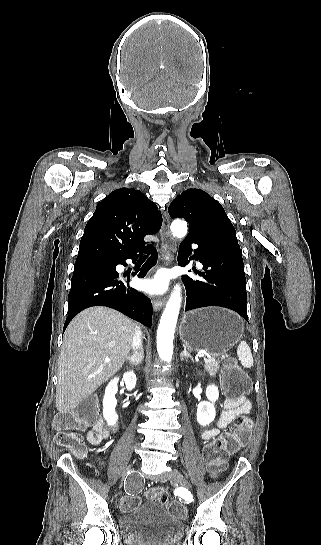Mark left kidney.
I'll return each mask as SVG.
<instances>
[{
	"instance_id": "5707ae66",
	"label": "left kidney",
	"mask_w": 321,
	"mask_h": 545,
	"mask_svg": "<svg viewBox=\"0 0 321 545\" xmlns=\"http://www.w3.org/2000/svg\"><path fill=\"white\" fill-rule=\"evenodd\" d=\"M206 397L208 401H202L197 407V421L202 427L210 425L216 417L215 401L219 399L218 387L208 385L206 389Z\"/></svg>"
}]
</instances>
